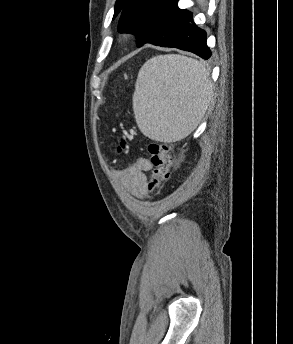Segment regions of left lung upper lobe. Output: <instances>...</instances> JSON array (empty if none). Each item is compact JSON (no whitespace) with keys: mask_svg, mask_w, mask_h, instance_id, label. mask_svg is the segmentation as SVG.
Segmentation results:
<instances>
[{"mask_svg":"<svg viewBox=\"0 0 293 344\" xmlns=\"http://www.w3.org/2000/svg\"><path fill=\"white\" fill-rule=\"evenodd\" d=\"M178 0H117L113 19L121 15L118 31L132 33L137 45H158L181 25L188 11L178 8Z\"/></svg>","mask_w":293,"mask_h":344,"instance_id":"5c2ea615","label":"left lung upper lobe"}]
</instances>
